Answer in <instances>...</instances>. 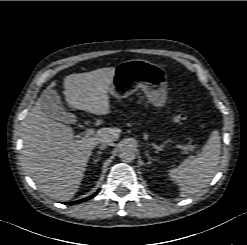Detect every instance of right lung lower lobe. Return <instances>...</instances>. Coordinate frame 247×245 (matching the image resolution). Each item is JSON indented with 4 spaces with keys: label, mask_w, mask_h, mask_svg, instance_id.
<instances>
[{
    "label": "right lung lower lobe",
    "mask_w": 247,
    "mask_h": 245,
    "mask_svg": "<svg viewBox=\"0 0 247 245\" xmlns=\"http://www.w3.org/2000/svg\"><path fill=\"white\" fill-rule=\"evenodd\" d=\"M99 191H100V190H98L95 194H93V195H91V196H89V197H87V198H84V199H81V200H78V201H74V202H69V203H67V204H76V203H80V202H84V201H86V200H89V199L93 198L94 196H96V195L98 194Z\"/></svg>",
    "instance_id": "98d812e1"
}]
</instances>
